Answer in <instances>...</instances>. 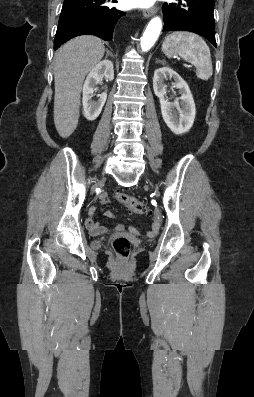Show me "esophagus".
I'll use <instances>...</instances> for the list:
<instances>
[{"instance_id": "obj_1", "label": "esophagus", "mask_w": 254, "mask_h": 397, "mask_svg": "<svg viewBox=\"0 0 254 397\" xmlns=\"http://www.w3.org/2000/svg\"><path fill=\"white\" fill-rule=\"evenodd\" d=\"M154 14H155V10L154 9H148V10H145L143 12V16L146 17V18L151 17Z\"/></svg>"}]
</instances>
